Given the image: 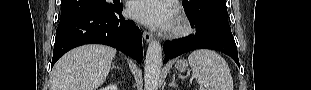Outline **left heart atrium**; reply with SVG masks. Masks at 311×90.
<instances>
[{
	"mask_svg": "<svg viewBox=\"0 0 311 90\" xmlns=\"http://www.w3.org/2000/svg\"><path fill=\"white\" fill-rule=\"evenodd\" d=\"M130 16L153 29H167L174 21L173 10L163 0H134L129 5Z\"/></svg>",
	"mask_w": 311,
	"mask_h": 90,
	"instance_id": "1",
	"label": "left heart atrium"
}]
</instances>
